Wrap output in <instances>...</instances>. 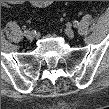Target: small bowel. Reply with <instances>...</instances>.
<instances>
[{
	"label": "small bowel",
	"instance_id": "1",
	"mask_svg": "<svg viewBox=\"0 0 109 109\" xmlns=\"http://www.w3.org/2000/svg\"><path fill=\"white\" fill-rule=\"evenodd\" d=\"M49 3V1H33V5L37 8H46Z\"/></svg>",
	"mask_w": 109,
	"mask_h": 109
}]
</instances>
